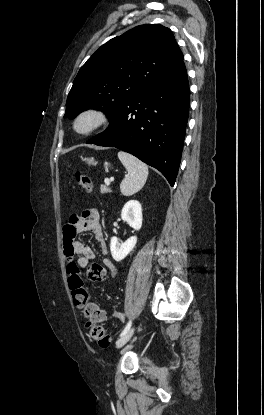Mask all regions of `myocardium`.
Returning <instances> with one entry per match:
<instances>
[{
    "instance_id": "1",
    "label": "myocardium",
    "mask_w": 264,
    "mask_h": 415,
    "mask_svg": "<svg viewBox=\"0 0 264 415\" xmlns=\"http://www.w3.org/2000/svg\"><path fill=\"white\" fill-rule=\"evenodd\" d=\"M85 119H89L90 124L86 128L81 129L79 125ZM109 122L110 116L106 111L90 107L83 109L75 116L72 122V128L75 133L82 136H88L102 129Z\"/></svg>"
}]
</instances>
